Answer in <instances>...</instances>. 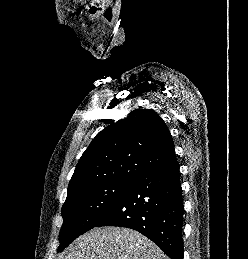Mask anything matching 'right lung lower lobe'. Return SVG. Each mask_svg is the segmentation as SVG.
<instances>
[{
  "instance_id": "obj_1",
  "label": "right lung lower lobe",
  "mask_w": 248,
  "mask_h": 259,
  "mask_svg": "<svg viewBox=\"0 0 248 259\" xmlns=\"http://www.w3.org/2000/svg\"><path fill=\"white\" fill-rule=\"evenodd\" d=\"M176 161L135 179L96 227L136 230L156 243L171 259H183V203Z\"/></svg>"
}]
</instances>
